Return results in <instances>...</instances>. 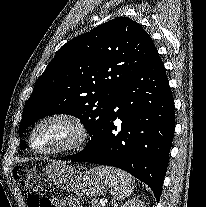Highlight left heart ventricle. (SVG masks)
Returning <instances> with one entry per match:
<instances>
[{"mask_svg":"<svg viewBox=\"0 0 206 207\" xmlns=\"http://www.w3.org/2000/svg\"><path fill=\"white\" fill-rule=\"evenodd\" d=\"M75 136V129L69 123L53 120L43 124L33 138L39 149H54L69 143Z\"/></svg>","mask_w":206,"mask_h":207,"instance_id":"1","label":"left heart ventricle"}]
</instances>
